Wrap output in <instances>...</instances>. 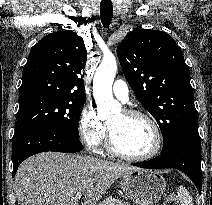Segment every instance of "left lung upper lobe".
Returning <instances> with one entry per match:
<instances>
[{"mask_svg":"<svg viewBox=\"0 0 212 205\" xmlns=\"http://www.w3.org/2000/svg\"><path fill=\"white\" fill-rule=\"evenodd\" d=\"M117 55L135 96L157 120L166 152L198 124L182 50L166 32L135 29L119 44Z\"/></svg>","mask_w":212,"mask_h":205,"instance_id":"5c2ea615","label":"left lung upper lobe"}]
</instances>
